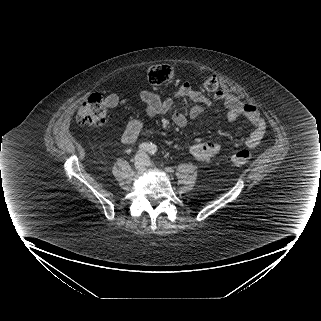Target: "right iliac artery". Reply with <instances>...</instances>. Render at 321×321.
<instances>
[{
    "label": "right iliac artery",
    "mask_w": 321,
    "mask_h": 321,
    "mask_svg": "<svg viewBox=\"0 0 321 321\" xmlns=\"http://www.w3.org/2000/svg\"><path fill=\"white\" fill-rule=\"evenodd\" d=\"M152 144L149 143H142L139 145V150L144 151V152H149L151 149Z\"/></svg>",
    "instance_id": "82829eb1"
}]
</instances>
